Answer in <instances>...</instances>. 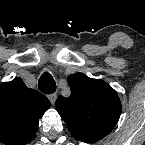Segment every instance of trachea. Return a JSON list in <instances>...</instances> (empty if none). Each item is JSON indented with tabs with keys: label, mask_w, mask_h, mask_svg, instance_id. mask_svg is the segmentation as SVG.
Segmentation results:
<instances>
[{
	"label": "trachea",
	"mask_w": 145,
	"mask_h": 145,
	"mask_svg": "<svg viewBox=\"0 0 145 145\" xmlns=\"http://www.w3.org/2000/svg\"><path fill=\"white\" fill-rule=\"evenodd\" d=\"M38 88L45 94H52L56 91V83L49 73H44L39 79Z\"/></svg>",
	"instance_id": "trachea-1"
}]
</instances>
